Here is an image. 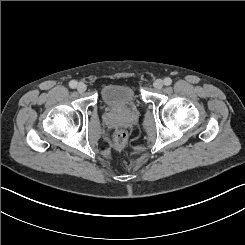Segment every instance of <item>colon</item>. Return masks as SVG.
<instances>
[{"instance_id":"5ec220e1","label":"colon","mask_w":245,"mask_h":245,"mask_svg":"<svg viewBox=\"0 0 245 245\" xmlns=\"http://www.w3.org/2000/svg\"><path fill=\"white\" fill-rule=\"evenodd\" d=\"M127 133L124 130H117L113 136V146L117 150H121L127 143Z\"/></svg>"}]
</instances>
